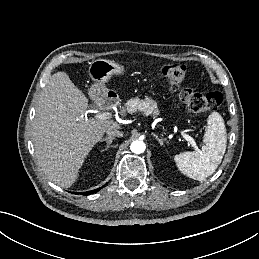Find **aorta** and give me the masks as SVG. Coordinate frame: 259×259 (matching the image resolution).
<instances>
[{
  "mask_svg": "<svg viewBox=\"0 0 259 259\" xmlns=\"http://www.w3.org/2000/svg\"><path fill=\"white\" fill-rule=\"evenodd\" d=\"M145 143L143 141L135 140L131 143L130 149L135 154H140L145 151Z\"/></svg>",
  "mask_w": 259,
  "mask_h": 259,
  "instance_id": "1",
  "label": "aorta"
}]
</instances>
